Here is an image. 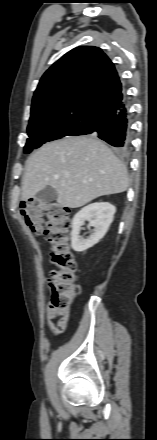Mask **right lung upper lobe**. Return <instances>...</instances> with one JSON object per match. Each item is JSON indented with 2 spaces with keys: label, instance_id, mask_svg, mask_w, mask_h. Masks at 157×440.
Segmentation results:
<instances>
[{
  "label": "right lung upper lobe",
  "instance_id": "cb5924a9",
  "mask_svg": "<svg viewBox=\"0 0 157 440\" xmlns=\"http://www.w3.org/2000/svg\"><path fill=\"white\" fill-rule=\"evenodd\" d=\"M124 99L120 77L100 48L77 47L55 62L34 93L30 121L86 124L119 106Z\"/></svg>",
  "mask_w": 157,
  "mask_h": 440
}]
</instances>
